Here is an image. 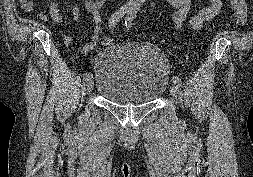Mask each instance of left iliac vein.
<instances>
[{
  "label": "left iliac vein",
  "instance_id": "obj_1",
  "mask_svg": "<svg viewBox=\"0 0 253 177\" xmlns=\"http://www.w3.org/2000/svg\"><path fill=\"white\" fill-rule=\"evenodd\" d=\"M178 85L176 83H172L170 86V93L172 95V97L177 98L178 97Z\"/></svg>",
  "mask_w": 253,
  "mask_h": 177
}]
</instances>
